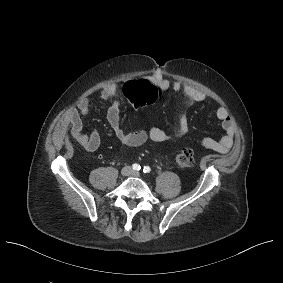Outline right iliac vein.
<instances>
[{
    "label": "right iliac vein",
    "instance_id": "obj_1",
    "mask_svg": "<svg viewBox=\"0 0 283 283\" xmlns=\"http://www.w3.org/2000/svg\"><path fill=\"white\" fill-rule=\"evenodd\" d=\"M131 172H132V170H131V168H130L129 166H125V167H123L122 170H121V174H122L123 176H128V175L131 174Z\"/></svg>",
    "mask_w": 283,
    "mask_h": 283
}]
</instances>
